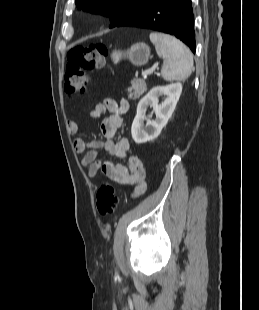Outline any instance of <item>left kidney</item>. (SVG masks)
<instances>
[{"mask_svg":"<svg viewBox=\"0 0 259 310\" xmlns=\"http://www.w3.org/2000/svg\"><path fill=\"white\" fill-rule=\"evenodd\" d=\"M181 92L182 84L179 82L166 86H156L139 101L137 114L131 127V134L135 143L142 144L152 141L160 135L175 110ZM160 96L164 97V101L158 104ZM149 106L153 108L156 114L154 120L146 118V111ZM145 120L146 125H144Z\"/></svg>","mask_w":259,"mask_h":310,"instance_id":"5707ae66","label":"left kidney"}]
</instances>
